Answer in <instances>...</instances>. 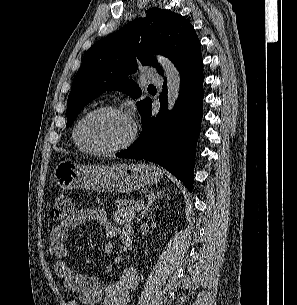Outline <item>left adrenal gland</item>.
<instances>
[{
	"label": "left adrenal gland",
	"mask_w": 297,
	"mask_h": 305,
	"mask_svg": "<svg viewBox=\"0 0 297 305\" xmlns=\"http://www.w3.org/2000/svg\"><path fill=\"white\" fill-rule=\"evenodd\" d=\"M164 195H165V189H162V190H152L150 192V194H148L146 196L147 197V204L144 207V209L142 210L141 214L139 215V218L137 220L138 223L147 215V213L150 210V207L155 202V200H157L158 198H160Z\"/></svg>",
	"instance_id": "a2214340"
}]
</instances>
